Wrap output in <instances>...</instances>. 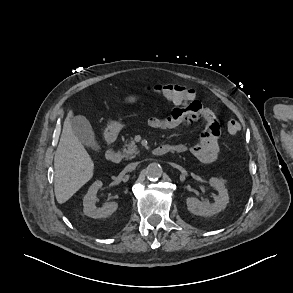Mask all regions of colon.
Instances as JSON below:
<instances>
[{"label":"colon","mask_w":293,"mask_h":293,"mask_svg":"<svg viewBox=\"0 0 293 293\" xmlns=\"http://www.w3.org/2000/svg\"><path fill=\"white\" fill-rule=\"evenodd\" d=\"M145 89L185 107H190L195 101L192 90L180 84H148ZM227 129L231 134H236L240 130V124L231 118L227 121Z\"/></svg>","instance_id":"colon-1"}]
</instances>
